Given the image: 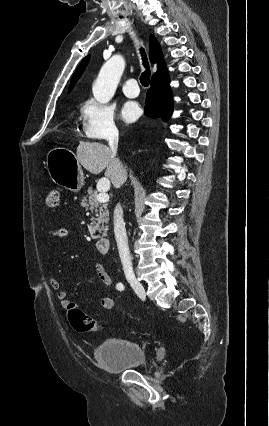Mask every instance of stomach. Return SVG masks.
Returning a JSON list of instances; mask_svg holds the SVG:
<instances>
[{"instance_id": "1", "label": "stomach", "mask_w": 269, "mask_h": 426, "mask_svg": "<svg viewBox=\"0 0 269 426\" xmlns=\"http://www.w3.org/2000/svg\"><path fill=\"white\" fill-rule=\"evenodd\" d=\"M46 168L52 181L72 192L84 185V174L77 157L72 151L56 147L46 155Z\"/></svg>"}]
</instances>
